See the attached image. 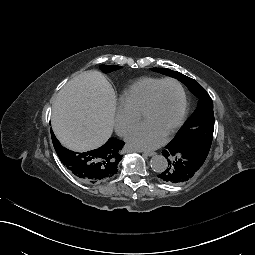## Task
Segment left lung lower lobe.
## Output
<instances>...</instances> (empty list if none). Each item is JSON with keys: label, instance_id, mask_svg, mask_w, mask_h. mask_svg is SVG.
<instances>
[{"label": "left lung lower lobe", "instance_id": "1", "mask_svg": "<svg viewBox=\"0 0 255 255\" xmlns=\"http://www.w3.org/2000/svg\"><path fill=\"white\" fill-rule=\"evenodd\" d=\"M163 155L168 160V167L165 172H160L158 177L165 182L171 184L185 183L193 176L194 172L200 175V167H203L201 164L204 161L196 151L187 146L164 147Z\"/></svg>", "mask_w": 255, "mask_h": 255}]
</instances>
